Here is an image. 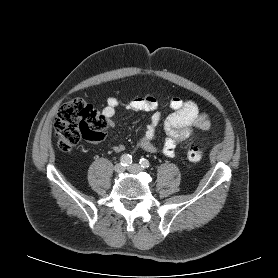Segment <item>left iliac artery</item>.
<instances>
[{
	"instance_id": "1",
	"label": "left iliac artery",
	"mask_w": 278,
	"mask_h": 278,
	"mask_svg": "<svg viewBox=\"0 0 278 278\" xmlns=\"http://www.w3.org/2000/svg\"><path fill=\"white\" fill-rule=\"evenodd\" d=\"M139 163H140L141 167H143V168H149L150 167L149 161L145 158L140 159Z\"/></svg>"
}]
</instances>
